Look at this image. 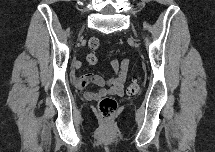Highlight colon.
Here are the masks:
<instances>
[{
  "label": "colon",
  "instance_id": "colon-1",
  "mask_svg": "<svg viewBox=\"0 0 215 152\" xmlns=\"http://www.w3.org/2000/svg\"><path fill=\"white\" fill-rule=\"evenodd\" d=\"M99 40L96 37H91L88 41L90 49H96L99 47ZM86 60L90 65L97 63V56L93 53H89L86 56ZM127 94L134 95L140 91V83L137 80L132 81L127 87ZM98 110L101 116L105 119L112 118L118 110V103L113 97H103L98 102Z\"/></svg>",
  "mask_w": 215,
  "mask_h": 152
}]
</instances>
